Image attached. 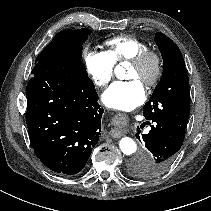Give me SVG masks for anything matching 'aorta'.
Masks as SVG:
<instances>
[{"label": "aorta", "mask_w": 211, "mask_h": 211, "mask_svg": "<svg viewBox=\"0 0 211 211\" xmlns=\"http://www.w3.org/2000/svg\"><path fill=\"white\" fill-rule=\"evenodd\" d=\"M117 70L118 68L116 69V73H117ZM119 147L125 155H132L137 150V145L135 141L130 137H123L119 141Z\"/></svg>", "instance_id": "1"}]
</instances>
